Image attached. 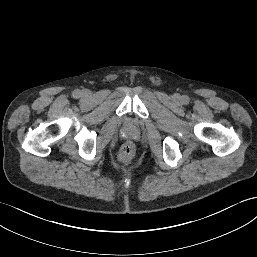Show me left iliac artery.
I'll use <instances>...</instances> for the list:
<instances>
[{
  "mask_svg": "<svg viewBox=\"0 0 257 257\" xmlns=\"http://www.w3.org/2000/svg\"><path fill=\"white\" fill-rule=\"evenodd\" d=\"M183 101H184L185 103H188V102H189V97H188V96H184V97H183Z\"/></svg>",
  "mask_w": 257,
  "mask_h": 257,
  "instance_id": "44dca946",
  "label": "left iliac artery"
}]
</instances>
